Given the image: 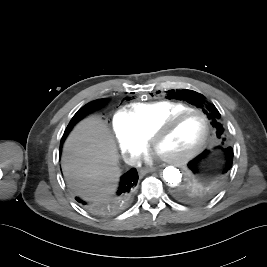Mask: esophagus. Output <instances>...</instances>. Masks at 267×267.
<instances>
[{
    "mask_svg": "<svg viewBox=\"0 0 267 267\" xmlns=\"http://www.w3.org/2000/svg\"><path fill=\"white\" fill-rule=\"evenodd\" d=\"M154 170H155L154 167L146 168V169H141V170L139 171V174H140L141 176H144L145 174H147V173H149V172H153Z\"/></svg>",
    "mask_w": 267,
    "mask_h": 267,
    "instance_id": "34e87169",
    "label": "esophagus"
}]
</instances>
